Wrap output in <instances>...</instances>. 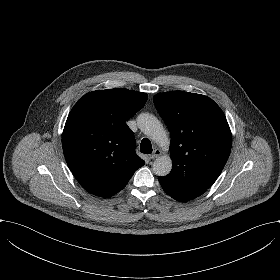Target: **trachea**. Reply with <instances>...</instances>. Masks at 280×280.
<instances>
[{
	"mask_svg": "<svg viewBox=\"0 0 280 280\" xmlns=\"http://www.w3.org/2000/svg\"><path fill=\"white\" fill-rule=\"evenodd\" d=\"M140 152L144 153V154H150L152 153V145L149 139L144 138L141 141V145H140Z\"/></svg>",
	"mask_w": 280,
	"mask_h": 280,
	"instance_id": "obj_1",
	"label": "trachea"
}]
</instances>
